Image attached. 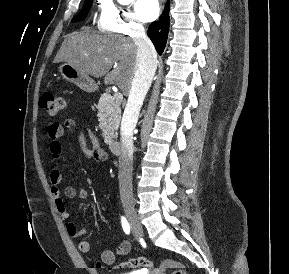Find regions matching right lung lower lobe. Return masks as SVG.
Masks as SVG:
<instances>
[{
    "mask_svg": "<svg viewBox=\"0 0 289 274\" xmlns=\"http://www.w3.org/2000/svg\"><path fill=\"white\" fill-rule=\"evenodd\" d=\"M169 8L170 4L168 0L165 9L160 16V20L153 22L148 28V36L160 55L164 51L168 37V31L170 26Z\"/></svg>",
    "mask_w": 289,
    "mask_h": 274,
    "instance_id": "98d812e1",
    "label": "right lung lower lobe"
}]
</instances>
